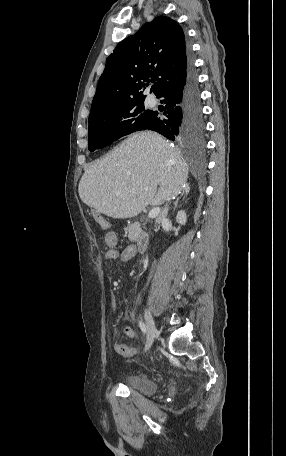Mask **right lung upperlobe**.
Returning a JSON list of instances; mask_svg holds the SVG:
<instances>
[{"instance_id":"1","label":"right lung upper lobe","mask_w":286,"mask_h":456,"mask_svg":"<svg viewBox=\"0 0 286 456\" xmlns=\"http://www.w3.org/2000/svg\"><path fill=\"white\" fill-rule=\"evenodd\" d=\"M191 62L180 25L159 16L121 41L106 60L89 121L101 112L120 105L144 101L143 89L156 81L151 92L157 96L182 79Z\"/></svg>"}]
</instances>
